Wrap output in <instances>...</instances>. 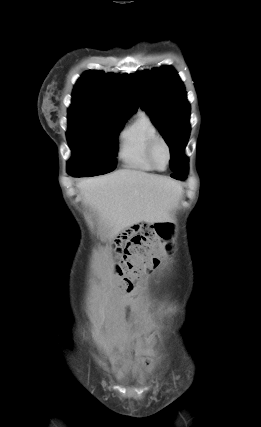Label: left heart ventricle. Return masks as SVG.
<instances>
[{
    "mask_svg": "<svg viewBox=\"0 0 261 427\" xmlns=\"http://www.w3.org/2000/svg\"><path fill=\"white\" fill-rule=\"evenodd\" d=\"M156 164L160 168H164L167 163V152L164 146L159 145L155 153Z\"/></svg>",
    "mask_w": 261,
    "mask_h": 427,
    "instance_id": "obj_1",
    "label": "left heart ventricle"
}]
</instances>
